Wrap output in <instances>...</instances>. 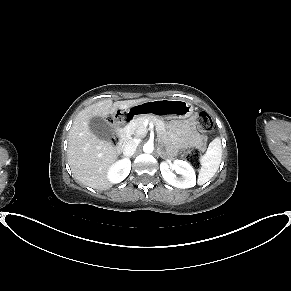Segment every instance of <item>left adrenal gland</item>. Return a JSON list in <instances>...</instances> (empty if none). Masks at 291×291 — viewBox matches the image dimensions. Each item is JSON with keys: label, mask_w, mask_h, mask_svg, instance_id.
Instances as JSON below:
<instances>
[{"label": "left adrenal gland", "mask_w": 291, "mask_h": 291, "mask_svg": "<svg viewBox=\"0 0 291 291\" xmlns=\"http://www.w3.org/2000/svg\"><path fill=\"white\" fill-rule=\"evenodd\" d=\"M157 153L160 155L161 158H164V156H163L162 153H161L160 148H158Z\"/></svg>", "instance_id": "left-adrenal-gland-1"}]
</instances>
